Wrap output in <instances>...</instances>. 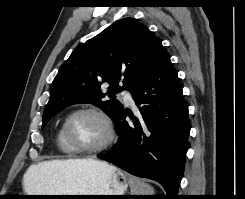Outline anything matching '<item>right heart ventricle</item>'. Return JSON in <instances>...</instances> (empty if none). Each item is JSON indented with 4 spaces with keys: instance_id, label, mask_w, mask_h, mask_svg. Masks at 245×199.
Returning <instances> with one entry per match:
<instances>
[{
    "instance_id": "1",
    "label": "right heart ventricle",
    "mask_w": 245,
    "mask_h": 199,
    "mask_svg": "<svg viewBox=\"0 0 245 199\" xmlns=\"http://www.w3.org/2000/svg\"><path fill=\"white\" fill-rule=\"evenodd\" d=\"M56 144L59 147V149L66 155L68 156H73L75 152L72 150V148L68 145L66 142L63 131H62V126L59 128L56 134Z\"/></svg>"
}]
</instances>
